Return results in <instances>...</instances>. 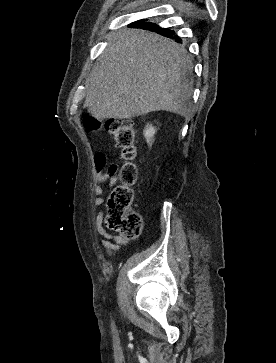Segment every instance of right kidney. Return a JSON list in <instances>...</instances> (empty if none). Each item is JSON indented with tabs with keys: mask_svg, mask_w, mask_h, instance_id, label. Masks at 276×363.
I'll return each mask as SVG.
<instances>
[{
	"mask_svg": "<svg viewBox=\"0 0 276 363\" xmlns=\"http://www.w3.org/2000/svg\"><path fill=\"white\" fill-rule=\"evenodd\" d=\"M156 128L153 127L151 124L147 125L143 130V135L146 138V141L149 145H151L154 142V135L156 133Z\"/></svg>",
	"mask_w": 276,
	"mask_h": 363,
	"instance_id": "right-kidney-1",
	"label": "right kidney"
}]
</instances>
